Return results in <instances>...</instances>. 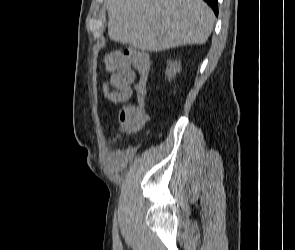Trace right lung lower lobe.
Listing matches in <instances>:
<instances>
[{
	"mask_svg": "<svg viewBox=\"0 0 295 250\" xmlns=\"http://www.w3.org/2000/svg\"><path fill=\"white\" fill-rule=\"evenodd\" d=\"M207 4L211 6L213 11L215 12L216 15H218V2L217 0H204Z\"/></svg>",
	"mask_w": 295,
	"mask_h": 250,
	"instance_id": "obj_1",
	"label": "right lung lower lobe"
}]
</instances>
